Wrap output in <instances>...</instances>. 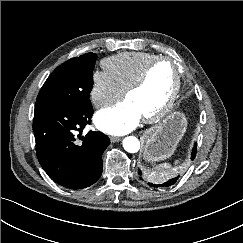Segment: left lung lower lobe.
Here are the masks:
<instances>
[{
    "instance_id": "1",
    "label": "left lung lower lobe",
    "mask_w": 243,
    "mask_h": 243,
    "mask_svg": "<svg viewBox=\"0 0 243 243\" xmlns=\"http://www.w3.org/2000/svg\"><path fill=\"white\" fill-rule=\"evenodd\" d=\"M196 143H195V145H194V148H193V150H192V157H191V159L193 160L194 158H195V156H196ZM138 173H139V175H142L141 174V171L139 170L138 171ZM178 178H179V176H177V177H175V178H173V179H170V180H168L167 182H165V183H163V184H159V185H156V184H152V183H148L150 186H152V187H160V186H170V185H173L177 180H178Z\"/></svg>"
}]
</instances>
